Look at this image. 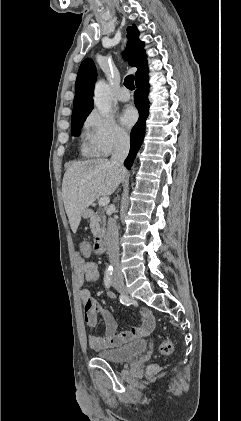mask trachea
Instances as JSON below:
<instances>
[{"label": "trachea", "instance_id": "obj_1", "mask_svg": "<svg viewBox=\"0 0 241 421\" xmlns=\"http://www.w3.org/2000/svg\"><path fill=\"white\" fill-rule=\"evenodd\" d=\"M124 85L126 88H128L129 90H134L135 89V85H134V76L133 75H128L125 80H124Z\"/></svg>", "mask_w": 241, "mask_h": 421}]
</instances>
